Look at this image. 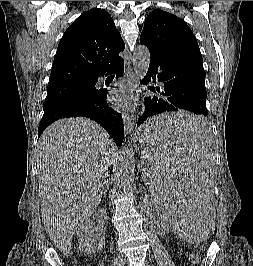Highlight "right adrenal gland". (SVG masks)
<instances>
[{
	"mask_svg": "<svg viewBox=\"0 0 253 266\" xmlns=\"http://www.w3.org/2000/svg\"><path fill=\"white\" fill-rule=\"evenodd\" d=\"M109 184H110V179H109V176H107L106 181H105L104 191H103L104 194L109 189Z\"/></svg>",
	"mask_w": 253,
	"mask_h": 266,
	"instance_id": "right-adrenal-gland-1",
	"label": "right adrenal gland"
}]
</instances>
